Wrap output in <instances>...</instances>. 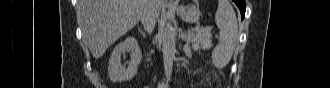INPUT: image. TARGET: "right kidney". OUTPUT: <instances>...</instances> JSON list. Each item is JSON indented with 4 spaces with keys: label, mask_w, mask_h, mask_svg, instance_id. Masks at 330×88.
Listing matches in <instances>:
<instances>
[{
    "label": "right kidney",
    "mask_w": 330,
    "mask_h": 88,
    "mask_svg": "<svg viewBox=\"0 0 330 88\" xmlns=\"http://www.w3.org/2000/svg\"><path fill=\"white\" fill-rule=\"evenodd\" d=\"M129 51L131 61L126 68L121 65V55ZM142 53L135 37H127L123 42L114 48L108 66V76L113 82H122L131 80L138 71V65L141 62Z\"/></svg>",
    "instance_id": "1"
}]
</instances>
